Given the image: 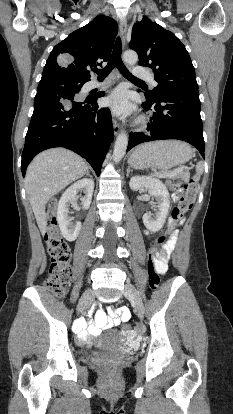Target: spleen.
<instances>
[{
    "label": "spleen",
    "instance_id": "spleen-1",
    "mask_svg": "<svg viewBox=\"0 0 233 414\" xmlns=\"http://www.w3.org/2000/svg\"><path fill=\"white\" fill-rule=\"evenodd\" d=\"M196 172H197L198 174H202V172H203V164H202V162H199V163L196 165Z\"/></svg>",
    "mask_w": 233,
    "mask_h": 414
}]
</instances>
